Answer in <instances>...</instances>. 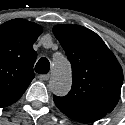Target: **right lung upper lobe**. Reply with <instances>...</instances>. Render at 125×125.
I'll list each match as a JSON object with an SVG mask.
<instances>
[{
	"label": "right lung upper lobe",
	"instance_id": "right-lung-upper-lobe-1",
	"mask_svg": "<svg viewBox=\"0 0 125 125\" xmlns=\"http://www.w3.org/2000/svg\"><path fill=\"white\" fill-rule=\"evenodd\" d=\"M41 33V26L25 19L0 25V108L19 100L33 80V43Z\"/></svg>",
	"mask_w": 125,
	"mask_h": 125
}]
</instances>
